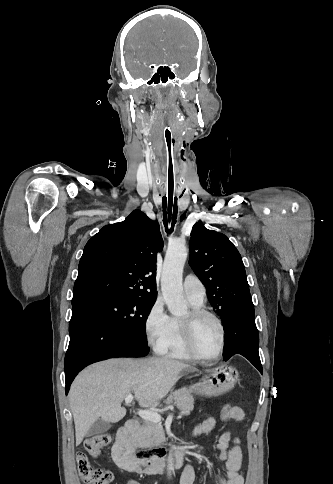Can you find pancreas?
I'll list each match as a JSON object with an SVG mask.
<instances>
[{
  "label": "pancreas",
  "mask_w": 333,
  "mask_h": 484,
  "mask_svg": "<svg viewBox=\"0 0 333 484\" xmlns=\"http://www.w3.org/2000/svg\"><path fill=\"white\" fill-rule=\"evenodd\" d=\"M165 403H174L181 410L182 415H190L194 409V398L186 388L179 389L169 396ZM132 442L139 447L149 448L159 446L165 442V433L161 423L144 421L143 425L131 434Z\"/></svg>",
  "instance_id": "pancreas-1"
}]
</instances>
